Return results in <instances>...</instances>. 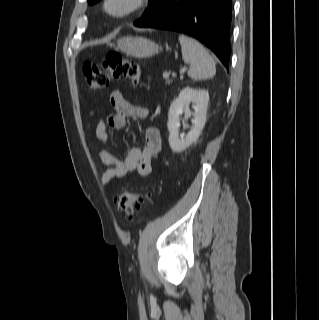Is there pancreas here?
<instances>
[{
    "instance_id": "1",
    "label": "pancreas",
    "mask_w": 319,
    "mask_h": 320,
    "mask_svg": "<svg viewBox=\"0 0 319 320\" xmlns=\"http://www.w3.org/2000/svg\"><path fill=\"white\" fill-rule=\"evenodd\" d=\"M165 79V78H164ZM166 82L168 83L169 81H168V79H166Z\"/></svg>"
}]
</instances>
